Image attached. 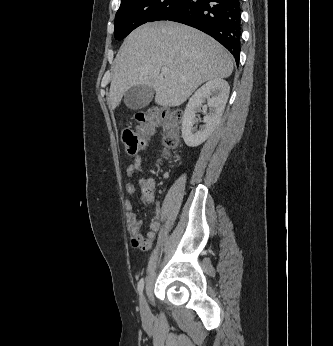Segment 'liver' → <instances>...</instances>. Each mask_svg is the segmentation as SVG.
I'll return each instance as SVG.
<instances>
[{
  "label": "liver",
  "mask_w": 333,
  "mask_h": 346,
  "mask_svg": "<svg viewBox=\"0 0 333 346\" xmlns=\"http://www.w3.org/2000/svg\"><path fill=\"white\" fill-rule=\"evenodd\" d=\"M162 68L169 73L163 77ZM233 58L205 33L174 22L147 23L135 29L121 45L113 64L109 105L116 109L131 87L148 85L155 103L176 107L205 81L227 78Z\"/></svg>",
  "instance_id": "1"
}]
</instances>
